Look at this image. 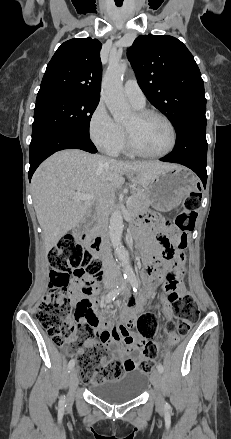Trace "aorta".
<instances>
[{"mask_svg": "<svg viewBox=\"0 0 231 439\" xmlns=\"http://www.w3.org/2000/svg\"><path fill=\"white\" fill-rule=\"evenodd\" d=\"M126 69L127 61L110 62L102 81V98L116 122H124L131 115V109L124 98L122 86ZM123 227L122 212L120 209H116L110 218L109 236L115 254L125 268L126 276L133 277L129 253L121 243Z\"/></svg>", "mask_w": 231, "mask_h": 439, "instance_id": "762f6f07", "label": "aorta"}]
</instances>
